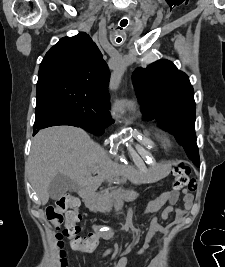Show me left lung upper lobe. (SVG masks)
Instances as JSON below:
<instances>
[{
  "label": "left lung upper lobe",
  "mask_w": 225,
  "mask_h": 267,
  "mask_svg": "<svg viewBox=\"0 0 225 267\" xmlns=\"http://www.w3.org/2000/svg\"><path fill=\"white\" fill-rule=\"evenodd\" d=\"M132 82L143 114L156 118L164 130L176 137L189 159L199 166L194 91L188 76L171 61L163 59L146 69L137 68Z\"/></svg>",
  "instance_id": "obj_1"
}]
</instances>
